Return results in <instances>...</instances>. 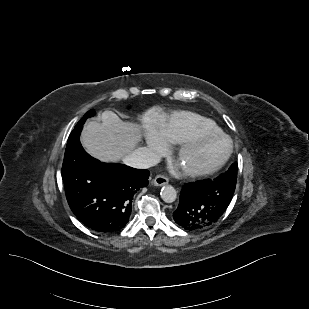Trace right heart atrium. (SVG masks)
I'll return each mask as SVG.
<instances>
[{"instance_id":"obj_1","label":"right heart atrium","mask_w":309,"mask_h":309,"mask_svg":"<svg viewBox=\"0 0 309 309\" xmlns=\"http://www.w3.org/2000/svg\"><path fill=\"white\" fill-rule=\"evenodd\" d=\"M145 152L149 155L158 154L163 146V142L158 133L152 129H148L145 133Z\"/></svg>"}]
</instances>
